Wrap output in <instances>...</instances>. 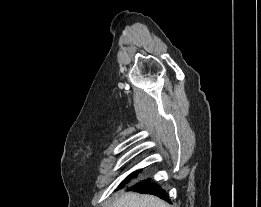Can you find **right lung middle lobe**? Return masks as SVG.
Instances as JSON below:
<instances>
[{
	"mask_svg": "<svg viewBox=\"0 0 261 207\" xmlns=\"http://www.w3.org/2000/svg\"><path fill=\"white\" fill-rule=\"evenodd\" d=\"M138 171L137 172H134L132 174H130L122 183L120 186H122L123 184H125L126 182H128L131 178L135 177L137 175Z\"/></svg>",
	"mask_w": 261,
	"mask_h": 207,
	"instance_id": "dd1d6c3e",
	"label": "right lung middle lobe"
}]
</instances>
